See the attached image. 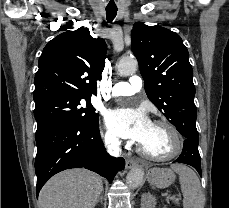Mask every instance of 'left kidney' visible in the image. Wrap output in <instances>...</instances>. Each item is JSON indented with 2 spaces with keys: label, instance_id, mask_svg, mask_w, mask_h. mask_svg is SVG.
I'll return each instance as SVG.
<instances>
[{
  "label": "left kidney",
  "instance_id": "left-kidney-1",
  "mask_svg": "<svg viewBox=\"0 0 229 208\" xmlns=\"http://www.w3.org/2000/svg\"><path fill=\"white\" fill-rule=\"evenodd\" d=\"M155 198L151 194H143L141 198V208H154Z\"/></svg>",
  "mask_w": 229,
  "mask_h": 208
}]
</instances>
